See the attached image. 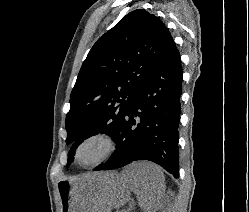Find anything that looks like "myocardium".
Here are the masks:
<instances>
[{
	"label": "myocardium",
	"instance_id": "1",
	"mask_svg": "<svg viewBox=\"0 0 249 212\" xmlns=\"http://www.w3.org/2000/svg\"><path fill=\"white\" fill-rule=\"evenodd\" d=\"M94 139H103L107 142L108 148L105 154L98 159L97 161L91 163H80L79 162V153L82 147L89 141ZM119 148V140L112 132L108 130H96L88 133L84 137H82L76 144L73 152L74 162L82 167V168H94L100 166L101 164L108 161L111 157H113Z\"/></svg>",
	"mask_w": 249,
	"mask_h": 212
}]
</instances>
